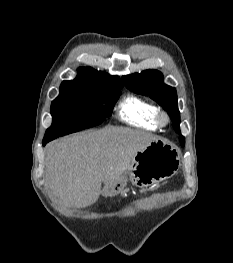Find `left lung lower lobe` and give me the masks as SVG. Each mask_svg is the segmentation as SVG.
Masks as SVG:
<instances>
[{"label":"left lung lower lobe","instance_id":"0a47b994","mask_svg":"<svg viewBox=\"0 0 233 263\" xmlns=\"http://www.w3.org/2000/svg\"><path fill=\"white\" fill-rule=\"evenodd\" d=\"M180 142H181V145L184 146L185 141H184V138H183V137L180 138Z\"/></svg>","mask_w":233,"mask_h":263}]
</instances>
